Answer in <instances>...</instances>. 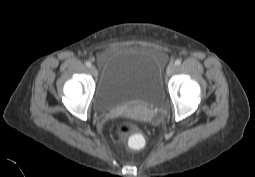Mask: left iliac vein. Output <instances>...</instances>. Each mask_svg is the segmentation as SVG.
<instances>
[{"instance_id":"1","label":"left iliac vein","mask_w":255,"mask_h":177,"mask_svg":"<svg viewBox=\"0 0 255 177\" xmlns=\"http://www.w3.org/2000/svg\"><path fill=\"white\" fill-rule=\"evenodd\" d=\"M175 65L174 64H170L168 67H167V70H166V74L167 76H171L174 71H175Z\"/></svg>"}]
</instances>
